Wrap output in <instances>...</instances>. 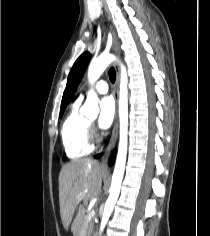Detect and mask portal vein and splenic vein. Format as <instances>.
<instances>
[{
  "instance_id": "obj_1",
  "label": "portal vein and splenic vein",
  "mask_w": 210,
  "mask_h": 236,
  "mask_svg": "<svg viewBox=\"0 0 210 236\" xmlns=\"http://www.w3.org/2000/svg\"><path fill=\"white\" fill-rule=\"evenodd\" d=\"M81 196H78V198H80ZM95 215V212L94 211H91L90 215H89V219H91L92 217H94Z\"/></svg>"
}]
</instances>
